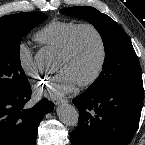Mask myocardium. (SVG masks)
I'll return each instance as SVG.
<instances>
[{
  "mask_svg": "<svg viewBox=\"0 0 145 145\" xmlns=\"http://www.w3.org/2000/svg\"><path fill=\"white\" fill-rule=\"evenodd\" d=\"M88 29L90 30L96 37L99 45V51H100V56H99V61L96 66L95 71L93 74L86 80L79 82L78 85L80 87H87L92 84H94L100 75L102 74V71L105 67L106 60H107V47L105 43V39L103 37V34L101 31L93 24L91 23H80L70 34L64 48L60 51V56L64 58H68L72 55L75 44H76V39L80 31Z\"/></svg>",
  "mask_w": 145,
  "mask_h": 145,
  "instance_id": "1",
  "label": "myocardium"
}]
</instances>
